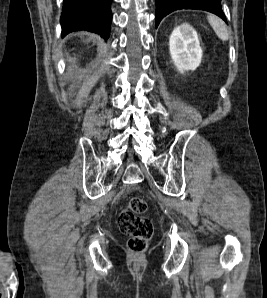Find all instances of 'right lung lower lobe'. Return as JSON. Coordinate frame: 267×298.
Wrapping results in <instances>:
<instances>
[{"mask_svg": "<svg viewBox=\"0 0 267 298\" xmlns=\"http://www.w3.org/2000/svg\"><path fill=\"white\" fill-rule=\"evenodd\" d=\"M63 12L60 22L62 35L87 30L108 39L112 14V0H63Z\"/></svg>", "mask_w": 267, "mask_h": 298, "instance_id": "obj_1", "label": "right lung lower lobe"}]
</instances>
